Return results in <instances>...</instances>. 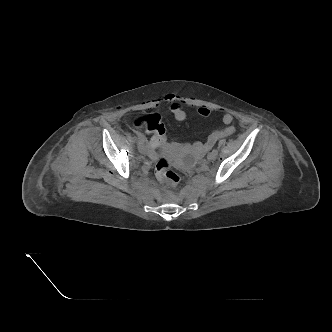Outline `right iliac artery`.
Returning <instances> with one entry per match:
<instances>
[{
    "mask_svg": "<svg viewBox=\"0 0 332 332\" xmlns=\"http://www.w3.org/2000/svg\"><path fill=\"white\" fill-rule=\"evenodd\" d=\"M137 137H138L139 140L145 141V138H144L142 133H137Z\"/></svg>",
    "mask_w": 332,
    "mask_h": 332,
    "instance_id": "right-iliac-artery-1",
    "label": "right iliac artery"
}]
</instances>
